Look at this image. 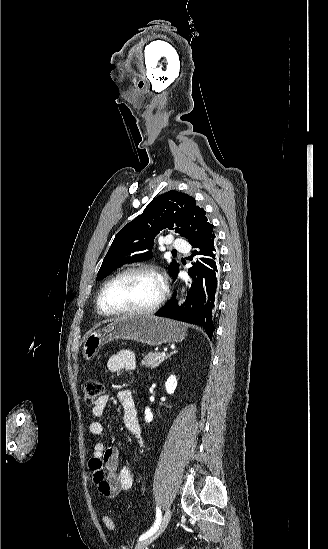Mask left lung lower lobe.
I'll list each match as a JSON object with an SVG mask.
<instances>
[{
    "instance_id": "obj_1",
    "label": "left lung lower lobe",
    "mask_w": 328,
    "mask_h": 549,
    "mask_svg": "<svg viewBox=\"0 0 328 549\" xmlns=\"http://www.w3.org/2000/svg\"><path fill=\"white\" fill-rule=\"evenodd\" d=\"M195 248L191 256L198 258L188 272L193 283L186 301L178 305L174 292L171 300L156 315L200 325L211 339L215 330L212 314L220 289L219 250L215 245V235ZM176 277L177 274L173 279Z\"/></svg>"
}]
</instances>
